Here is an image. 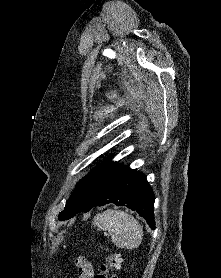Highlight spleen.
<instances>
[{"mask_svg":"<svg viewBox=\"0 0 221 278\" xmlns=\"http://www.w3.org/2000/svg\"><path fill=\"white\" fill-rule=\"evenodd\" d=\"M93 225L108 231L118 248L134 249L142 240V227L131 215L121 210L108 209L93 219Z\"/></svg>","mask_w":221,"mask_h":278,"instance_id":"3e777b00","label":"spleen"}]
</instances>
